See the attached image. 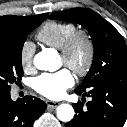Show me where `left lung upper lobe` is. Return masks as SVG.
I'll use <instances>...</instances> for the list:
<instances>
[{"mask_svg":"<svg viewBox=\"0 0 127 127\" xmlns=\"http://www.w3.org/2000/svg\"><path fill=\"white\" fill-rule=\"evenodd\" d=\"M49 18L81 24L92 37L93 62L88 74L76 88V93L88 91L103 81L127 83V46L120 33L108 21L87 8L58 11Z\"/></svg>","mask_w":127,"mask_h":127,"instance_id":"obj_1","label":"left lung upper lobe"}]
</instances>
